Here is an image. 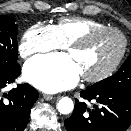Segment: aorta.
<instances>
[{"label": "aorta", "mask_w": 131, "mask_h": 131, "mask_svg": "<svg viewBox=\"0 0 131 131\" xmlns=\"http://www.w3.org/2000/svg\"><path fill=\"white\" fill-rule=\"evenodd\" d=\"M57 109L61 114H69L74 109V103L69 97H62L57 103Z\"/></svg>", "instance_id": "aorta-1"}]
</instances>
